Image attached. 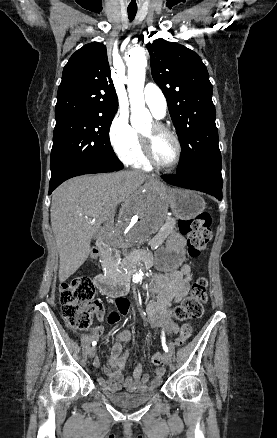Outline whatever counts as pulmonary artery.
<instances>
[{
    "label": "pulmonary artery",
    "instance_id": "obj_1",
    "mask_svg": "<svg viewBox=\"0 0 277 438\" xmlns=\"http://www.w3.org/2000/svg\"><path fill=\"white\" fill-rule=\"evenodd\" d=\"M145 87V93L147 96L142 99L143 103L149 107L155 118H165L168 109L164 97L166 93L165 87H154V84L151 81L146 82Z\"/></svg>",
    "mask_w": 277,
    "mask_h": 438
}]
</instances>
